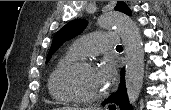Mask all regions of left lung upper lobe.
<instances>
[{"mask_svg":"<svg viewBox=\"0 0 171 110\" xmlns=\"http://www.w3.org/2000/svg\"><path fill=\"white\" fill-rule=\"evenodd\" d=\"M117 11L123 12L127 15H131L130 9L127 5L122 2L118 1L115 7ZM87 21L84 19H76L65 26H63L54 36L51 48L46 58V63L50 60L51 56L57 51V49L65 42L70 40L71 38L75 37L76 35L80 34L83 29L86 27Z\"/></svg>","mask_w":171,"mask_h":110,"instance_id":"obj_1","label":"left lung upper lobe"}]
</instances>
